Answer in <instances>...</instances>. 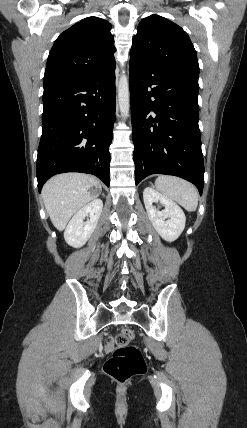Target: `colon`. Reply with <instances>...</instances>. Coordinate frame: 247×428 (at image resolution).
Instances as JSON below:
<instances>
[{
  "instance_id": "1",
  "label": "colon",
  "mask_w": 247,
  "mask_h": 428,
  "mask_svg": "<svg viewBox=\"0 0 247 428\" xmlns=\"http://www.w3.org/2000/svg\"><path fill=\"white\" fill-rule=\"evenodd\" d=\"M133 337L132 330L125 328L107 341V347L112 353L105 362L104 371L109 377L121 384L146 370L139 348L129 345Z\"/></svg>"
}]
</instances>
